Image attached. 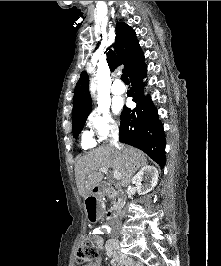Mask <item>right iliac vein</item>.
Masks as SVG:
<instances>
[{
  "mask_svg": "<svg viewBox=\"0 0 221 266\" xmlns=\"http://www.w3.org/2000/svg\"><path fill=\"white\" fill-rule=\"evenodd\" d=\"M113 245L116 247V246H118V240L115 238L114 240H113Z\"/></svg>",
  "mask_w": 221,
  "mask_h": 266,
  "instance_id": "63e3f726",
  "label": "right iliac vein"
}]
</instances>
